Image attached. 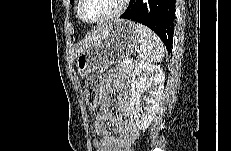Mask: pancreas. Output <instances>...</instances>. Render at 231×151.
Listing matches in <instances>:
<instances>
[{"label":"pancreas","instance_id":"pancreas-1","mask_svg":"<svg viewBox=\"0 0 231 151\" xmlns=\"http://www.w3.org/2000/svg\"><path fill=\"white\" fill-rule=\"evenodd\" d=\"M120 69L128 75L133 73L135 65L133 63H125L124 60L118 62Z\"/></svg>","mask_w":231,"mask_h":151}]
</instances>
